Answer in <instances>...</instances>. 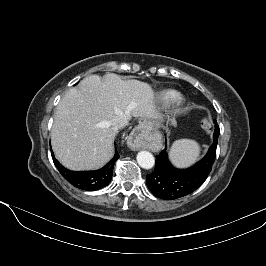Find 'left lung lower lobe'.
I'll list each match as a JSON object with an SVG mask.
<instances>
[{
    "mask_svg": "<svg viewBox=\"0 0 266 266\" xmlns=\"http://www.w3.org/2000/svg\"><path fill=\"white\" fill-rule=\"evenodd\" d=\"M213 144L206 156L187 169H177L170 163L166 150L156 156L155 169L147 175L149 190L157 197L174 200L184 197L199 188L209 173L216 158V148L220 130L217 127Z\"/></svg>",
    "mask_w": 266,
    "mask_h": 266,
    "instance_id": "obj_1",
    "label": "left lung lower lobe"
}]
</instances>
